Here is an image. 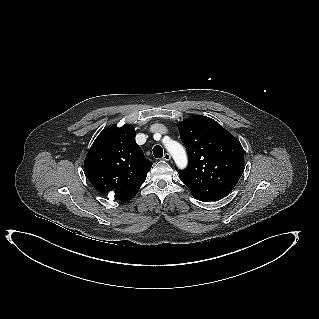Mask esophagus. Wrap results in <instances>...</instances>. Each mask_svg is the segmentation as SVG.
Instances as JSON below:
<instances>
[{
    "instance_id": "obj_1",
    "label": "esophagus",
    "mask_w": 319,
    "mask_h": 319,
    "mask_svg": "<svg viewBox=\"0 0 319 319\" xmlns=\"http://www.w3.org/2000/svg\"><path fill=\"white\" fill-rule=\"evenodd\" d=\"M170 159H171V155H170L169 153H165V154L163 155V160L169 161Z\"/></svg>"
}]
</instances>
